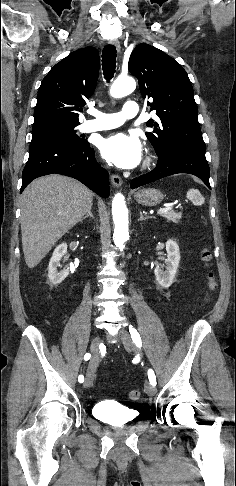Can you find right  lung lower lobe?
Wrapping results in <instances>:
<instances>
[{"instance_id": "98d812e1", "label": "right lung lower lobe", "mask_w": 236, "mask_h": 486, "mask_svg": "<svg viewBox=\"0 0 236 486\" xmlns=\"http://www.w3.org/2000/svg\"><path fill=\"white\" fill-rule=\"evenodd\" d=\"M53 173L73 177L103 198L109 196L108 172L97 163L87 141L82 144L31 142L21 192L35 178Z\"/></svg>"}]
</instances>
